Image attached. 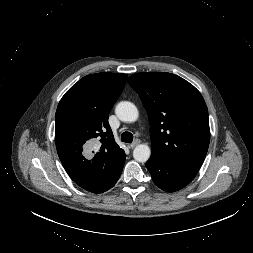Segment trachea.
I'll return each mask as SVG.
<instances>
[{
    "label": "trachea",
    "mask_w": 253,
    "mask_h": 253,
    "mask_svg": "<svg viewBox=\"0 0 253 253\" xmlns=\"http://www.w3.org/2000/svg\"><path fill=\"white\" fill-rule=\"evenodd\" d=\"M121 140L122 142L125 143H132L133 141V135L130 132H123L121 135Z\"/></svg>",
    "instance_id": "trachea-1"
}]
</instances>
